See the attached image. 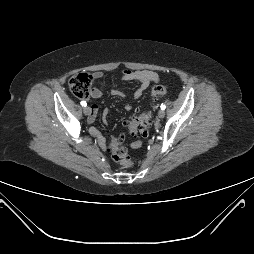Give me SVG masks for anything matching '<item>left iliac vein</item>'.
Segmentation results:
<instances>
[{"mask_svg":"<svg viewBox=\"0 0 254 254\" xmlns=\"http://www.w3.org/2000/svg\"><path fill=\"white\" fill-rule=\"evenodd\" d=\"M165 116V111L164 110H159V112H158V117L159 118H163Z\"/></svg>","mask_w":254,"mask_h":254,"instance_id":"4c4485c4","label":"left iliac vein"}]
</instances>
